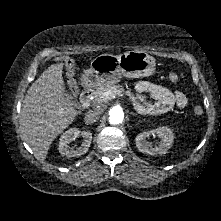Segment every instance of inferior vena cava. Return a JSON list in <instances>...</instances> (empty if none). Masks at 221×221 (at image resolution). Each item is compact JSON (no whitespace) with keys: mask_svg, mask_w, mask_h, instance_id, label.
<instances>
[{"mask_svg":"<svg viewBox=\"0 0 221 221\" xmlns=\"http://www.w3.org/2000/svg\"><path fill=\"white\" fill-rule=\"evenodd\" d=\"M101 112L99 109H92L89 110L84 117V120L86 123L88 124H92L94 122H96L100 116Z\"/></svg>","mask_w":221,"mask_h":221,"instance_id":"1","label":"inferior vena cava"}]
</instances>
